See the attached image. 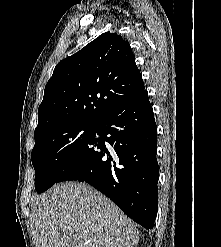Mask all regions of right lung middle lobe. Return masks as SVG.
Listing matches in <instances>:
<instances>
[{"mask_svg":"<svg viewBox=\"0 0 221 247\" xmlns=\"http://www.w3.org/2000/svg\"><path fill=\"white\" fill-rule=\"evenodd\" d=\"M96 127L97 123L68 122L34 136L31 158L38 193L56 183L65 167L92 137Z\"/></svg>","mask_w":221,"mask_h":247,"instance_id":"1","label":"right lung middle lobe"}]
</instances>
